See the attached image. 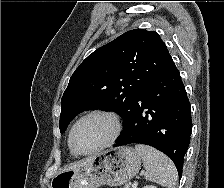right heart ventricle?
Listing matches in <instances>:
<instances>
[{
    "label": "right heart ventricle",
    "instance_id": "right-heart-ventricle-1",
    "mask_svg": "<svg viewBox=\"0 0 224 188\" xmlns=\"http://www.w3.org/2000/svg\"><path fill=\"white\" fill-rule=\"evenodd\" d=\"M69 136H70V135H69ZM68 142H69V141H68ZM69 147H70V146H69ZM70 150H71V149H70ZM71 153L74 154L72 151H71Z\"/></svg>",
    "mask_w": 224,
    "mask_h": 188
}]
</instances>
